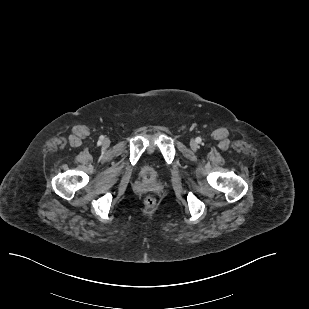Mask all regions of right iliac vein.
I'll list each match as a JSON object with an SVG mask.
<instances>
[{"label":"right iliac vein","mask_w":309,"mask_h":309,"mask_svg":"<svg viewBox=\"0 0 309 309\" xmlns=\"http://www.w3.org/2000/svg\"><path fill=\"white\" fill-rule=\"evenodd\" d=\"M102 144H103L104 147H108L109 146V140L105 139Z\"/></svg>","instance_id":"obj_1"}]
</instances>
